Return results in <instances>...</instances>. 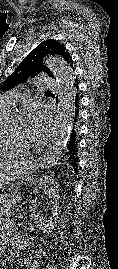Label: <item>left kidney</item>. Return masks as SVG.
<instances>
[{
    "label": "left kidney",
    "instance_id": "left-kidney-1",
    "mask_svg": "<svg viewBox=\"0 0 118 269\" xmlns=\"http://www.w3.org/2000/svg\"><path fill=\"white\" fill-rule=\"evenodd\" d=\"M40 190H44L45 193L48 194L50 202L52 204L51 207V216L49 218L41 217L35 209L36 200H31V208L30 212L34 219V223L38 227L39 230L43 232H51L56 224V220L58 215L60 214V206H59V185L51 176H43L39 178V180L35 184V188L33 193L36 194Z\"/></svg>",
    "mask_w": 118,
    "mask_h": 269
}]
</instances>
